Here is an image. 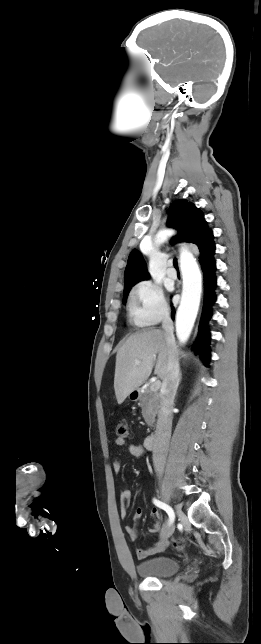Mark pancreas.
I'll return each instance as SVG.
<instances>
[{"label": "pancreas", "mask_w": 261, "mask_h": 644, "mask_svg": "<svg viewBox=\"0 0 261 644\" xmlns=\"http://www.w3.org/2000/svg\"><path fill=\"white\" fill-rule=\"evenodd\" d=\"M158 395L156 392L151 391L149 388H147L142 395L140 401H141V408H142V415L145 419V422L148 424V426H152L153 423L155 422V416L157 414V407H158Z\"/></svg>", "instance_id": "pancreas-1"}]
</instances>
